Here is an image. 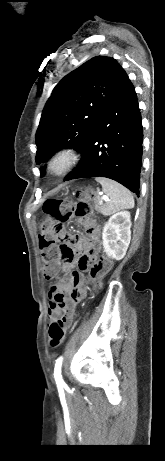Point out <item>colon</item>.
Returning <instances> with one entry per match:
<instances>
[{"label":"colon","mask_w":165,"mask_h":461,"mask_svg":"<svg viewBox=\"0 0 165 461\" xmlns=\"http://www.w3.org/2000/svg\"><path fill=\"white\" fill-rule=\"evenodd\" d=\"M93 192H79L76 203L63 199H49L43 205V211L48 216L41 223L40 246L44 250V269L43 274L47 280H52L56 276V262L60 259V251H73L69 245L61 244L56 240L60 235L62 225L72 215L84 218L90 215L91 208L86 202ZM95 265L102 270L110 266V261L105 258L96 260ZM49 340L53 347L59 346L65 339V325L61 318H56L49 326Z\"/></svg>","instance_id":"obj_1"}]
</instances>
